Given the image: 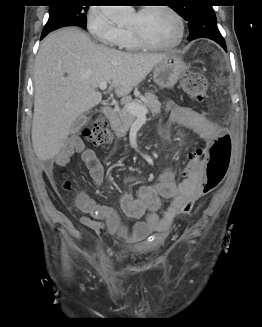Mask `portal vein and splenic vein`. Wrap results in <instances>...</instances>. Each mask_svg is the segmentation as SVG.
I'll list each match as a JSON object with an SVG mask.
<instances>
[{
	"mask_svg": "<svg viewBox=\"0 0 262 327\" xmlns=\"http://www.w3.org/2000/svg\"><path fill=\"white\" fill-rule=\"evenodd\" d=\"M99 88L101 90H105L107 88V82H101L99 84ZM126 107L131 114L138 117H145V115L148 113V110L145 107L136 103H128L126 104Z\"/></svg>",
	"mask_w": 262,
	"mask_h": 327,
	"instance_id": "18ae733b",
	"label": "portal vein and splenic vein"
}]
</instances>
